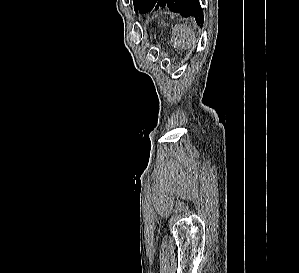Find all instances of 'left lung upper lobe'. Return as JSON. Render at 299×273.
<instances>
[{"label": "left lung upper lobe", "mask_w": 299, "mask_h": 273, "mask_svg": "<svg viewBox=\"0 0 299 273\" xmlns=\"http://www.w3.org/2000/svg\"><path fill=\"white\" fill-rule=\"evenodd\" d=\"M147 0H133L135 11H141Z\"/></svg>", "instance_id": "obj_1"}]
</instances>
